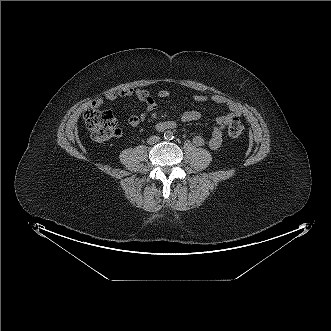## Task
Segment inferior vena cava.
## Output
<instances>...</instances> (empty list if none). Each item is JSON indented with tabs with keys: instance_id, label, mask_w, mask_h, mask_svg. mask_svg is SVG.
Returning a JSON list of instances; mask_svg holds the SVG:
<instances>
[{
	"instance_id": "obj_1",
	"label": "inferior vena cava",
	"mask_w": 331,
	"mask_h": 331,
	"mask_svg": "<svg viewBox=\"0 0 331 331\" xmlns=\"http://www.w3.org/2000/svg\"><path fill=\"white\" fill-rule=\"evenodd\" d=\"M160 140V137H158V136H151L149 139H148V142L150 143V144H154V143H156V142H158Z\"/></svg>"
}]
</instances>
